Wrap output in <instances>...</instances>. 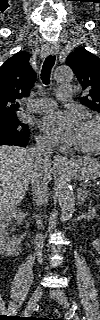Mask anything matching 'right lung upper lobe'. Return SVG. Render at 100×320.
I'll use <instances>...</instances> for the list:
<instances>
[{
	"instance_id": "right-lung-upper-lobe-1",
	"label": "right lung upper lobe",
	"mask_w": 100,
	"mask_h": 320,
	"mask_svg": "<svg viewBox=\"0 0 100 320\" xmlns=\"http://www.w3.org/2000/svg\"><path fill=\"white\" fill-rule=\"evenodd\" d=\"M29 59V53L18 52L0 67V119L17 117L20 100L33 87L36 74Z\"/></svg>"
}]
</instances>
